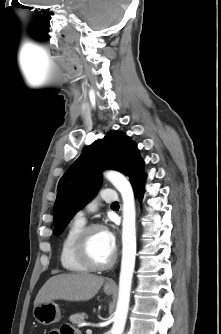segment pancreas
Wrapping results in <instances>:
<instances>
[{
	"label": "pancreas",
	"instance_id": "pancreas-1",
	"mask_svg": "<svg viewBox=\"0 0 221 334\" xmlns=\"http://www.w3.org/2000/svg\"><path fill=\"white\" fill-rule=\"evenodd\" d=\"M86 318H87V315L85 313H77V314L71 315L69 320L73 324L79 326L80 324L85 322Z\"/></svg>",
	"mask_w": 221,
	"mask_h": 334
}]
</instances>
